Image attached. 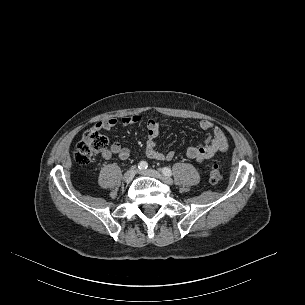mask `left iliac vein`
Wrapping results in <instances>:
<instances>
[{
  "label": "left iliac vein",
  "instance_id": "1",
  "mask_svg": "<svg viewBox=\"0 0 305 305\" xmlns=\"http://www.w3.org/2000/svg\"><path fill=\"white\" fill-rule=\"evenodd\" d=\"M140 173L142 175H145V176H149V177H153V178H156V179H159L161 180L162 182L168 184V185H172L173 184V180L169 177H166L162 174V172L160 171H156V170H153V169H147V170H142L140 171Z\"/></svg>",
  "mask_w": 305,
  "mask_h": 305
}]
</instances>
